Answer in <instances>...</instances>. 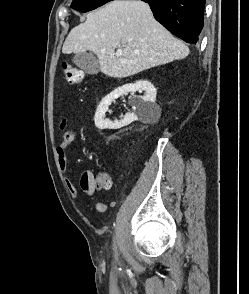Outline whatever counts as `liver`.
Listing matches in <instances>:
<instances>
[{
  "mask_svg": "<svg viewBox=\"0 0 249 294\" xmlns=\"http://www.w3.org/2000/svg\"><path fill=\"white\" fill-rule=\"evenodd\" d=\"M122 49L116 56L115 49ZM94 52L103 74L124 78L188 56L189 48L158 23L147 3L114 0L68 34L64 54Z\"/></svg>",
  "mask_w": 249,
  "mask_h": 294,
  "instance_id": "6515ba94",
  "label": "liver"
}]
</instances>
